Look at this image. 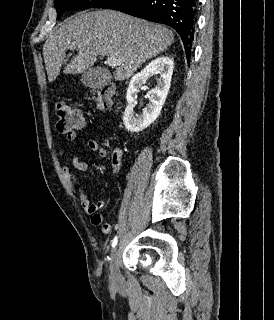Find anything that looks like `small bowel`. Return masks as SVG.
<instances>
[{"label":"small bowel","instance_id":"obj_1","mask_svg":"<svg viewBox=\"0 0 274 320\" xmlns=\"http://www.w3.org/2000/svg\"><path fill=\"white\" fill-rule=\"evenodd\" d=\"M77 124L78 131H87L89 121L88 119H78ZM76 138L77 132L75 130L65 135L64 143L58 152V158L61 164L62 174L72 192L79 199L83 211L90 216L91 223L98 226L103 224L104 221V217L100 213V210L105 207V202L102 200L91 202L86 190L79 184L74 172L64 162L68 145L75 141ZM87 146L92 152L98 154L100 157L105 158L109 156L113 173L115 175H119L121 173L124 162V152L121 148H115L109 154L108 151L94 139H89L87 141ZM71 164L73 168L81 172H85L89 168V163L85 160H81L77 155H72Z\"/></svg>","mask_w":274,"mask_h":320}]
</instances>
